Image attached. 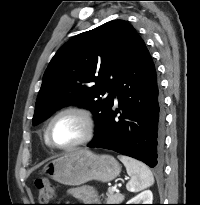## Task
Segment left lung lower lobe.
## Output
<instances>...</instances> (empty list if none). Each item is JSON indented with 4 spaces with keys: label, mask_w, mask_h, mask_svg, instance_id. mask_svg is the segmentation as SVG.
Wrapping results in <instances>:
<instances>
[{
    "label": "left lung lower lobe",
    "mask_w": 200,
    "mask_h": 205,
    "mask_svg": "<svg viewBox=\"0 0 200 205\" xmlns=\"http://www.w3.org/2000/svg\"><path fill=\"white\" fill-rule=\"evenodd\" d=\"M120 109L113 106L100 132L88 144L157 167L163 158L164 113L154 63L137 35L113 84ZM120 114L117 117V114Z\"/></svg>",
    "instance_id": "left-lung-lower-lobe-1"
}]
</instances>
